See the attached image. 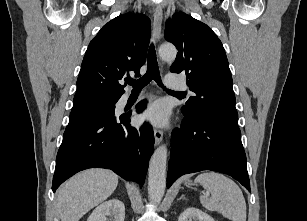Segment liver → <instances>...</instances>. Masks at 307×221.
<instances>
[{
  "label": "liver",
  "mask_w": 307,
  "mask_h": 221,
  "mask_svg": "<svg viewBox=\"0 0 307 221\" xmlns=\"http://www.w3.org/2000/svg\"><path fill=\"white\" fill-rule=\"evenodd\" d=\"M118 176L106 169H89L70 178L57 194L61 221H79L116 189Z\"/></svg>",
  "instance_id": "1"
}]
</instances>
